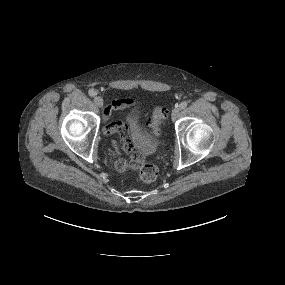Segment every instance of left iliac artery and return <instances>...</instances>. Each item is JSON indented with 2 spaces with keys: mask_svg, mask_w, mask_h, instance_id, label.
<instances>
[{
  "mask_svg": "<svg viewBox=\"0 0 285 285\" xmlns=\"http://www.w3.org/2000/svg\"><path fill=\"white\" fill-rule=\"evenodd\" d=\"M187 105H188V102L187 101H183V102L180 103L179 107L181 109H185L187 107Z\"/></svg>",
  "mask_w": 285,
  "mask_h": 285,
  "instance_id": "left-iliac-artery-1",
  "label": "left iliac artery"
}]
</instances>
